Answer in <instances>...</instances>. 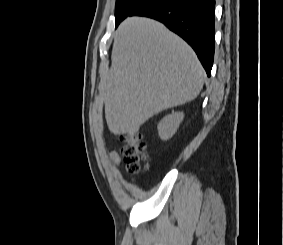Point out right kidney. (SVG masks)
Returning <instances> with one entry per match:
<instances>
[{
	"label": "right kidney",
	"instance_id": "1",
	"mask_svg": "<svg viewBox=\"0 0 283 245\" xmlns=\"http://www.w3.org/2000/svg\"><path fill=\"white\" fill-rule=\"evenodd\" d=\"M184 118L183 112H175L166 116L158 124V133L162 140H168L177 131L179 124Z\"/></svg>",
	"mask_w": 283,
	"mask_h": 245
}]
</instances>
